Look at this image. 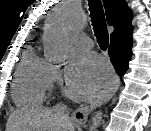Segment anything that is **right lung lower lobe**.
I'll use <instances>...</instances> for the list:
<instances>
[{"label": "right lung lower lobe", "instance_id": "98d812e1", "mask_svg": "<svg viewBox=\"0 0 151 131\" xmlns=\"http://www.w3.org/2000/svg\"><path fill=\"white\" fill-rule=\"evenodd\" d=\"M132 41H121L118 43H110L109 46V56L111 57V62L114 65L117 73L123 75L128 69V63L132 56Z\"/></svg>", "mask_w": 151, "mask_h": 131}]
</instances>
